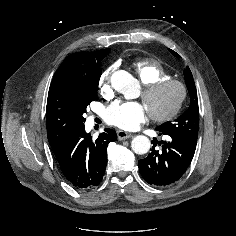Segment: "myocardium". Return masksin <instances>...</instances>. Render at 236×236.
<instances>
[{
	"mask_svg": "<svg viewBox=\"0 0 236 236\" xmlns=\"http://www.w3.org/2000/svg\"><path fill=\"white\" fill-rule=\"evenodd\" d=\"M167 86L177 87L179 90V95L175 103L164 113L158 114V113L149 111L151 118L157 122H165V121L171 120L173 117H175L179 113L187 97V87L185 83H183L182 81L178 79L166 78V79H160L148 85H145L142 91V99L145 102L148 98H150L159 90Z\"/></svg>",
	"mask_w": 236,
	"mask_h": 236,
	"instance_id": "f54148a6",
	"label": "myocardium"
}]
</instances>
